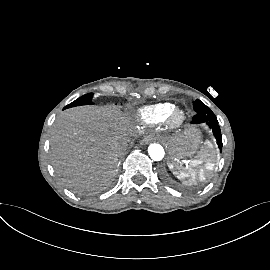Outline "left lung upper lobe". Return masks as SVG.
I'll return each mask as SVG.
<instances>
[{
    "label": "left lung upper lobe",
    "mask_w": 270,
    "mask_h": 270,
    "mask_svg": "<svg viewBox=\"0 0 270 270\" xmlns=\"http://www.w3.org/2000/svg\"><path fill=\"white\" fill-rule=\"evenodd\" d=\"M194 110L196 115L192 119V123H199L204 119L215 118L214 113L200 100H196L193 103Z\"/></svg>",
    "instance_id": "5c2ea615"
}]
</instances>
